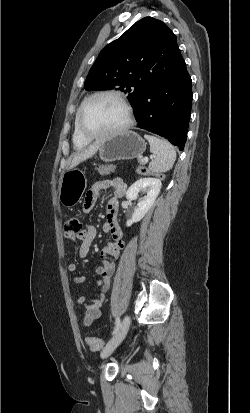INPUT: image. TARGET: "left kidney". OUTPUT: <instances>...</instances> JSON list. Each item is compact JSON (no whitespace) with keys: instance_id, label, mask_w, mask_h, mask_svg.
<instances>
[{"instance_id":"1","label":"left kidney","mask_w":250,"mask_h":413,"mask_svg":"<svg viewBox=\"0 0 250 413\" xmlns=\"http://www.w3.org/2000/svg\"><path fill=\"white\" fill-rule=\"evenodd\" d=\"M161 185L160 179L141 178L129 187L126 192V198L129 200H136L140 192H144L146 195L138 200L132 218L126 223L127 226L139 222L146 215L159 195Z\"/></svg>"}]
</instances>
